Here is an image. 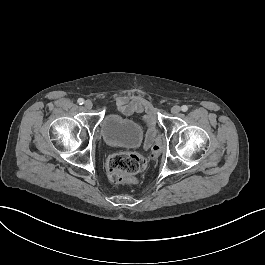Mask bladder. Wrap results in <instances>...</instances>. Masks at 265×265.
Segmentation results:
<instances>
[{
  "instance_id": "1",
  "label": "bladder",
  "mask_w": 265,
  "mask_h": 265,
  "mask_svg": "<svg viewBox=\"0 0 265 265\" xmlns=\"http://www.w3.org/2000/svg\"><path fill=\"white\" fill-rule=\"evenodd\" d=\"M100 132L104 141L115 147H135L143 135L139 124L113 112L104 116Z\"/></svg>"
}]
</instances>
